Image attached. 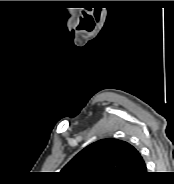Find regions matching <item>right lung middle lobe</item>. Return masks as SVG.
I'll return each instance as SVG.
<instances>
[{
  "instance_id": "1",
  "label": "right lung middle lobe",
  "mask_w": 174,
  "mask_h": 184,
  "mask_svg": "<svg viewBox=\"0 0 174 184\" xmlns=\"http://www.w3.org/2000/svg\"><path fill=\"white\" fill-rule=\"evenodd\" d=\"M86 184H108V183H102V182H88ZM117 184H121V183H117Z\"/></svg>"
}]
</instances>
